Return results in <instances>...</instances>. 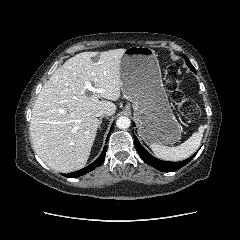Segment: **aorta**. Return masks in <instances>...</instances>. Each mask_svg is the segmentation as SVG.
Returning <instances> with one entry per match:
<instances>
[{
  "mask_svg": "<svg viewBox=\"0 0 240 240\" xmlns=\"http://www.w3.org/2000/svg\"><path fill=\"white\" fill-rule=\"evenodd\" d=\"M131 121L126 116H121L116 120V125L119 129H127L130 127Z\"/></svg>",
  "mask_w": 240,
  "mask_h": 240,
  "instance_id": "762f6f07",
  "label": "aorta"
}]
</instances>
